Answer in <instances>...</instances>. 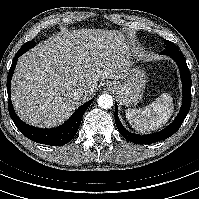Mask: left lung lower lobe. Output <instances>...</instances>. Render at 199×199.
Masks as SVG:
<instances>
[{"label": "left lung lower lobe", "mask_w": 199, "mask_h": 199, "mask_svg": "<svg viewBox=\"0 0 199 199\" xmlns=\"http://www.w3.org/2000/svg\"><path fill=\"white\" fill-rule=\"evenodd\" d=\"M161 54L168 55L175 60L180 69L183 89L182 107L175 120L164 130L149 134V135H136L127 131L121 124L118 118L117 105H115V123L120 134L127 140L136 144L155 143L172 136L183 123L186 115L188 114L191 106V75L188 69L186 60L183 54L179 51L178 47L168 48L161 52Z\"/></svg>", "instance_id": "left-lung-lower-lobe-1"}]
</instances>
